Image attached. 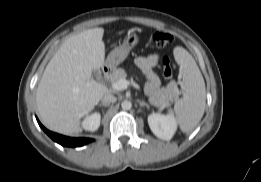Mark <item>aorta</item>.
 <instances>
[{"label":"aorta","instance_id":"aorta-1","mask_svg":"<svg viewBox=\"0 0 261 182\" xmlns=\"http://www.w3.org/2000/svg\"><path fill=\"white\" fill-rule=\"evenodd\" d=\"M121 107L123 110H130L132 108V103L128 100H125L121 103Z\"/></svg>","mask_w":261,"mask_h":182}]
</instances>
